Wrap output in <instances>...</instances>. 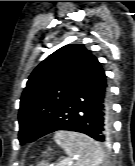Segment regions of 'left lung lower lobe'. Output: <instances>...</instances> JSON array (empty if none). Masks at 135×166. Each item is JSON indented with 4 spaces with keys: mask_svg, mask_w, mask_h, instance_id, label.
Listing matches in <instances>:
<instances>
[{
    "mask_svg": "<svg viewBox=\"0 0 135 166\" xmlns=\"http://www.w3.org/2000/svg\"><path fill=\"white\" fill-rule=\"evenodd\" d=\"M58 130L81 132L100 142L109 139L110 91L104 70L95 57L84 67L57 117L46 125L34 121L25 123L20 127L19 139L24 144Z\"/></svg>",
    "mask_w": 135,
    "mask_h": 166,
    "instance_id": "1",
    "label": "left lung lower lobe"
}]
</instances>
